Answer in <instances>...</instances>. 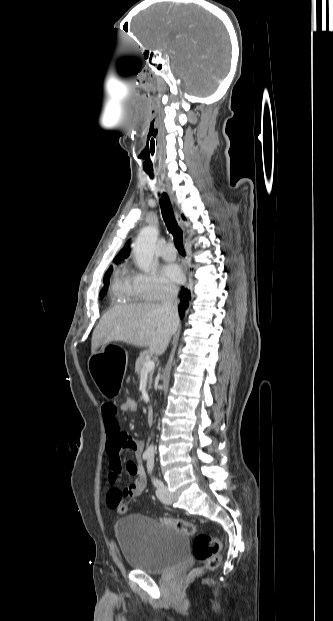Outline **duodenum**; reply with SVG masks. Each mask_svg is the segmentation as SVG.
Instances as JSON below:
<instances>
[{
  "mask_svg": "<svg viewBox=\"0 0 333 621\" xmlns=\"http://www.w3.org/2000/svg\"><path fill=\"white\" fill-rule=\"evenodd\" d=\"M146 418H147V422H148V424L153 423V420H154V410H153L152 408H149V409L147 410V416H146Z\"/></svg>",
  "mask_w": 333,
  "mask_h": 621,
  "instance_id": "duodenum-1",
  "label": "duodenum"
}]
</instances>
